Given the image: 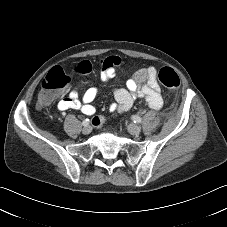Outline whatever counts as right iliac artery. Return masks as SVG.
<instances>
[{"mask_svg": "<svg viewBox=\"0 0 227 227\" xmlns=\"http://www.w3.org/2000/svg\"><path fill=\"white\" fill-rule=\"evenodd\" d=\"M83 125H84V126L89 125V119H84V120H83Z\"/></svg>", "mask_w": 227, "mask_h": 227, "instance_id": "82829eb1", "label": "right iliac artery"}]
</instances>
